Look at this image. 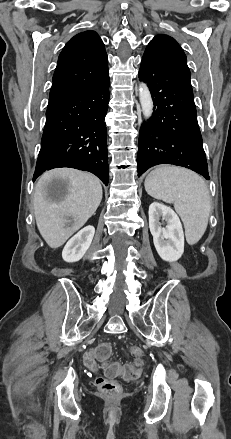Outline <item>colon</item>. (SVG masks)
<instances>
[{"label":"colon","mask_w":231,"mask_h":439,"mask_svg":"<svg viewBox=\"0 0 231 439\" xmlns=\"http://www.w3.org/2000/svg\"><path fill=\"white\" fill-rule=\"evenodd\" d=\"M111 345L108 342H102L96 349V357L101 362L104 375L95 379L97 388L106 394H116L120 391V385L114 380L122 376L125 380L136 379L141 372L142 350L133 346L129 348L128 354L132 355L135 360L132 364L120 365L118 362L110 360Z\"/></svg>","instance_id":"5ec220e1"}]
</instances>
